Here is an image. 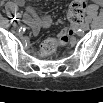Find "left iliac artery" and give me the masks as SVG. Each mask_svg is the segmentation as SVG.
<instances>
[{
  "mask_svg": "<svg viewBox=\"0 0 103 103\" xmlns=\"http://www.w3.org/2000/svg\"><path fill=\"white\" fill-rule=\"evenodd\" d=\"M85 21H86L87 23H90V22H91V17H90V16H87V17L85 18Z\"/></svg>",
  "mask_w": 103,
  "mask_h": 103,
  "instance_id": "obj_1",
  "label": "left iliac artery"
}]
</instances>
